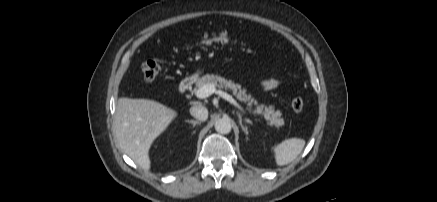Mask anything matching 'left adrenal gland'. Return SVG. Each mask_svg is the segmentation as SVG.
<instances>
[{"instance_id": "1", "label": "left adrenal gland", "mask_w": 437, "mask_h": 202, "mask_svg": "<svg viewBox=\"0 0 437 202\" xmlns=\"http://www.w3.org/2000/svg\"><path fill=\"white\" fill-rule=\"evenodd\" d=\"M237 115H238V118H239V124H240V126L242 128V131L247 135L248 134L247 128L242 124V116H241L240 113H237Z\"/></svg>"}]
</instances>
